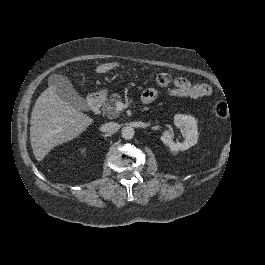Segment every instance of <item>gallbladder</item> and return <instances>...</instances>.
<instances>
[{
    "label": "gallbladder",
    "instance_id": "obj_1",
    "mask_svg": "<svg viewBox=\"0 0 265 265\" xmlns=\"http://www.w3.org/2000/svg\"><path fill=\"white\" fill-rule=\"evenodd\" d=\"M48 85L57 86V95L77 110L89 111L86 100L75 90L70 80L60 74H51L48 77Z\"/></svg>",
    "mask_w": 265,
    "mask_h": 265
}]
</instances>
